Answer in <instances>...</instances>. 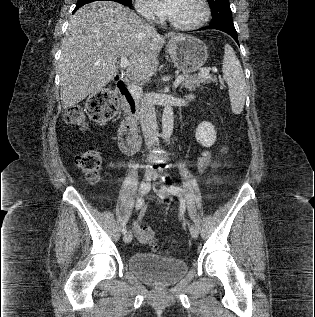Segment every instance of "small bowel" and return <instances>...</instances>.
Returning a JSON list of instances; mask_svg holds the SVG:
<instances>
[{
	"mask_svg": "<svg viewBox=\"0 0 315 317\" xmlns=\"http://www.w3.org/2000/svg\"><path fill=\"white\" fill-rule=\"evenodd\" d=\"M226 152H227V147L222 146L219 149L217 158H214L210 150L204 151L202 155L200 156L197 163L199 172H204L207 168H212V169L217 168L219 166V159L223 157L226 154ZM145 212H146V207L142 209L137 220L133 224L134 232L138 238H140V233L142 228L141 224H142V220L145 215Z\"/></svg>",
	"mask_w": 315,
	"mask_h": 317,
	"instance_id": "small-bowel-1",
	"label": "small bowel"
}]
</instances>
